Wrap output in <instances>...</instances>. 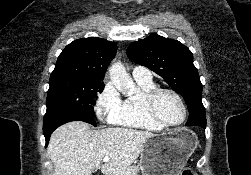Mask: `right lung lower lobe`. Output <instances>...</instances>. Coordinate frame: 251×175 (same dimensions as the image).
<instances>
[{"instance_id": "98d812e1", "label": "right lung lower lobe", "mask_w": 251, "mask_h": 175, "mask_svg": "<svg viewBox=\"0 0 251 175\" xmlns=\"http://www.w3.org/2000/svg\"><path fill=\"white\" fill-rule=\"evenodd\" d=\"M70 121H84L96 126L95 118H91L81 113L68 112V113H54L49 116L45 115L43 122V133L46 139V146L48 144L52 132L60 125Z\"/></svg>"}]
</instances>
